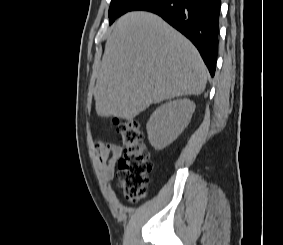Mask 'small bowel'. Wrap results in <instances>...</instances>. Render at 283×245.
I'll list each match as a JSON object with an SVG mask.
<instances>
[{
	"label": "small bowel",
	"instance_id": "c3829d8e",
	"mask_svg": "<svg viewBox=\"0 0 283 245\" xmlns=\"http://www.w3.org/2000/svg\"><path fill=\"white\" fill-rule=\"evenodd\" d=\"M96 153L100 168L106 180H111L115 175L116 162L121 156L122 148L114 143L96 142Z\"/></svg>",
	"mask_w": 283,
	"mask_h": 245
}]
</instances>
